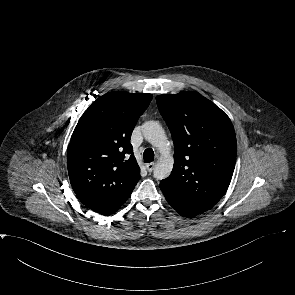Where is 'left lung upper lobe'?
<instances>
[{
  "mask_svg": "<svg viewBox=\"0 0 295 295\" xmlns=\"http://www.w3.org/2000/svg\"><path fill=\"white\" fill-rule=\"evenodd\" d=\"M157 105L174 142V166L160 188L189 216L212 208L225 194L237 144L229 117L195 91L158 95Z\"/></svg>",
  "mask_w": 295,
  "mask_h": 295,
  "instance_id": "5c2ea615",
  "label": "left lung upper lobe"
}]
</instances>
